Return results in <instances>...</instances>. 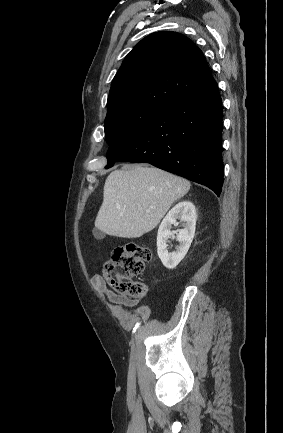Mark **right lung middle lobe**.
I'll use <instances>...</instances> for the list:
<instances>
[{
	"label": "right lung middle lobe",
	"mask_w": 283,
	"mask_h": 433,
	"mask_svg": "<svg viewBox=\"0 0 283 433\" xmlns=\"http://www.w3.org/2000/svg\"><path fill=\"white\" fill-rule=\"evenodd\" d=\"M161 110L163 108L137 104L108 110L105 119V136L109 144L107 158L122 151Z\"/></svg>",
	"instance_id": "1"
}]
</instances>
